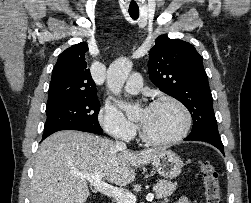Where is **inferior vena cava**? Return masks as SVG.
I'll use <instances>...</instances> for the list:
<instances>
[{
    "label": "inferior vena cava",
    "mask_w": 251,
    "mask_h": 203,
    "mask_svg": "<svg viewBox=\"0 0 251 203\" xmlns=\"http://www.w3.org/2000/svg\"><path fill=\"white\" fill-rule=\"evenodd\" d=\"M115 145H116L118 148L126 149V144H125L124 142L116 141V142H115Z\"/></svg>",
    "instance_id": "inferior-vena-cava-1"
}]
</instances>
